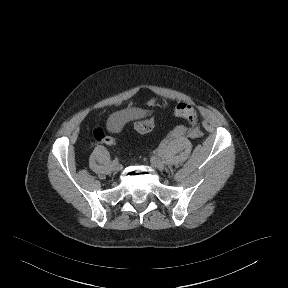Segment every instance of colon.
<instances>
[{
    "instance_id": "obj_1",
    "label": "colon",
    "mask_w": 288,
    "mask_h": 288,
    "mask_svg": "<svg viewBox=\"0 0 288 288\" xmlns=\"http://www.w3.org/2000/svg\"><path fill=\"white\" fill-rule=\"evenodd\" d=\"M174 113L177 117H180L187 121L190 126H195L197 124L198 113L196 108L192 105L179 103L175 106ZM152 127V119L140 121L135 123L134 125V129L139 133L149 132ZM93 135L97 142L107 146H113L116 142L115 138L109 133L105 132L102 128H95L93 130Z\"/></svg>"
}]
</instances>
